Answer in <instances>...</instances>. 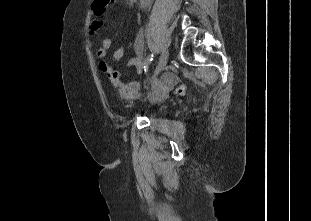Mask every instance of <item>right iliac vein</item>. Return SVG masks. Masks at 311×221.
<instances>
[{
  "instance_id": "right-iliac-vein-1",
  "label": "right iliac vein",
  "mask_w": 311,
  "mask_h": 221,
  "mask_svg": "<svg viewBox=\"0 0 311 221\" xmlns=\"http://www.w3.org/2000/svg\"><path fill=\"white\" fill-rule=\"evenodd\" d=\"M168 56H169L168 51L164 50L161 57H160L159 64L155 70V73H154L151 81L156 80L157 76L164 70L166 63H167V60H168Z\"/></svg>"
}]
</instances>
